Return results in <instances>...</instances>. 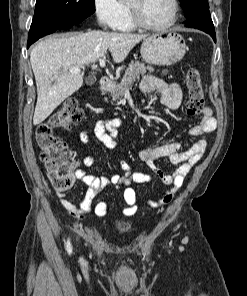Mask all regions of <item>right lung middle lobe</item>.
<instances>
[{"instance_id":"dd1d6c3e","label":"right lung middle lobe","mask_w":247,"mask_h":296,"mask_svg":"<svg viewBox=\"0 0 247 296\" xmlns=\"http://www.w3.org/2000/svg\"><path fill=\"white\" fill-rule=\"evenodd\" d=\"M95 12L94 0H37L32 24L49 19L78 23Z\"/></svg>"}]
</instances>
